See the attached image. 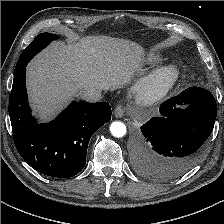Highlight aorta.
I'll return each instance as SVG.
<instances>
[{
  "label": "aorta",
  "mask_w": 224,
  "mask_h": 224,
  "mask_svg": "<svg viewBox=\"0 0 224 224\" xmlns=\"http://www.w3.org/2000/svg\"><path fill=\"white\" fill-rule=\"evenodd\" d=\"M110 131L114 137H123L126 134V126L122 122L115 121L110 125Z\"/></svg>",
  "instance_id": "1"
}]
</instances>
